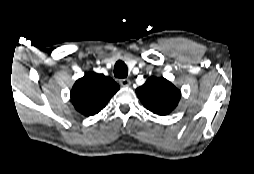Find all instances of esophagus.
Segmentation results:
<instances>
[{"instance_id":"esophagus-1","label":"esophagus","mask_w":254,"mask_h":174,"mask_svg":"<svg viewBox=\"0 0 254 174\" xmlns=\"http://www.w3.org/2000/svg\"><path fill=\"white\" fill-rule=\"evenodd\" d=\"M119 83L122 87H129L131 85V81L129 79H120Z\"/></svg>"}]
</instances>
